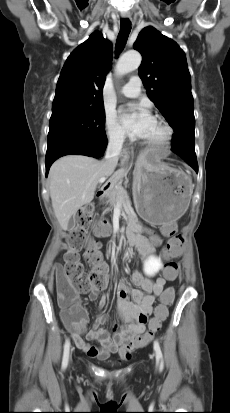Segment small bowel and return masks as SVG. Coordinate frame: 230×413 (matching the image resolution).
<instances>
[{"label": "small bowel", "instance_id": "obj_1", "mask_svg": "<svg viewBox=\"0 0 230 413\" xmlns=\"http://www.w3.org/2000/svg\"><path fill=\"white\" fill-rule=\"evenodd\" d=\"M177 222H162V231L165 235H171V231H177ZM104 232L99 231L102 235ZM134 245L141 251L145 258L152 255L154 246L158 243L156 236H151L150 239L138 235L136 233ZM105 274V282L101 288H92L89 293V299L95 300L100 290L104 289L108 284V265ZM165 268V267H164ZM169 281L166 277H158L151 279L145 277L140 272H134L132 282L136 288H130L126 283L121 282L117 287L118 295V313L124 326L115 330L111 336L104 324L109 321V317L104 314H99L93 324V328L86 333L87 341H97L99 347L93 346L85 341L82 335L86 332L88 317L87 312L76 300V306L81 314L77 316L73 311H63L61 316L66 329L71 334V337L76 346L84 351L87 355L97 359H106L111 354L118 353L122 358L125 357V346L133 341L139 340L145 334V328L153 311V303L155 299L161 296L166 290L174 291L172 287L165 288L166 282ZM105 299L100 301V307L105 306Z\"/></svg>", "mask_w": 230, "mask_h": 413}]
</instances>
